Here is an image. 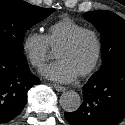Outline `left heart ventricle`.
I'll return each mask as SVG.
<instances>
[{"instance_id": "left-heart-ventricle-1", "label": "left heart ventricle", "mask_w": 125, "mask_h": 125, "mask_svg": "<svg viewBox=\"0 0 125 125\" xmlns=\"http://www.w3.org/2000/svg\"><path fill=\"white\" fill-rule=\"evenodd\" d=\"M95 54V39L85 34L71 48L56 51V58L65 61L79 75L91 65Z\"/></svg>"}]
</instances>
